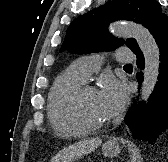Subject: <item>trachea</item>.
<instances>
[{
  "instance_id": "1",
  "label": "trachea",
  "mask_w": 168,
  "mask_h": 162,
  "mask_svg": "<svg viewBox=\"0 0 168 162\" xmlns=\"http://www.w3.org/2000/svg\"><path fill=\"white\" fill-rule=\"evenodd\" d=\"M124 67H132V64H126Z\"/></svg>"
}]
</instances>
